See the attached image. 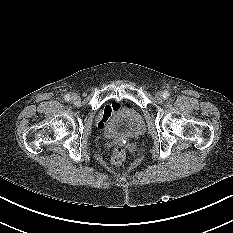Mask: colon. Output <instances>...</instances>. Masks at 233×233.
I'll list each match as a JSON object with an SVG mask.
<instances>
[{"mask_svg": "<svg viewBox=\"0 0 233 233\" xmlns=\"http://www.w3.org/2000/svg\"><path fill=\"white\" fill-rule=\"evenodd\" d=\"M126 158L125 151L122 147H116L111 156V163L115 166L121 165Z\"/></svg>", "mask_w": 233, "mask_h": 233, "instance_id": "1", "label": "colon"}]
</instances>
